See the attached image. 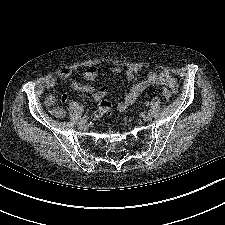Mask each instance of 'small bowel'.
<instances>
[{"instance_id": "c3829d8e", "label": "small bowel", "mask_w": 225, "mask_h": 225, "mask_svg": "<svg viewBox=\"0 0 225 225\" xmlns=\"http://www.w3.org/2000/svg\"><path fill=\"white\" fill-rule=\"evenodd\" d=\"M122 71L120 67H114L112 72L114 74H118ZM140 72V68L133 66L126 70L125 76L128 80H133L136 75ZM72 70L68 67L62 68L58 72V77L60 79L66 80L72 76ZM98 76V70L94 66L88 67L84 72V78L88 81H92L96 79ZM56 84L55 77H49L46 79L44 86L46 89H51ZM151 85H165L172 89L174 92L178 89V84L175 78L167 71H159V72H151L147 75V77L135 83L124 98L121 101H118L114 104L115 108L119 111H125L130 105H132L139 96ZM70 87L74 90L81 91L87 94H90L96 101H99V107L94 113V118L98 119L103 114H105L113 104L108 101L104 100V97L107 94L108 88L106 86L95 87L92 85H84L78 82L77 80H71ZM68 100L67 94H63L61 96V101L65 103ZM57 98L55 94L49 93L45 99V106L49 109V112L58 118L63 117L64 112L60 107L56 106ZM63 112V114H62Z\"/></svg>"}]
</instances>
